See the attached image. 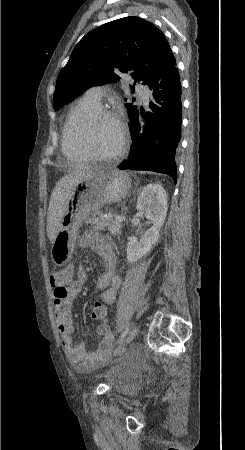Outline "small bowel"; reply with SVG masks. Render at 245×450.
I'll return each mask as SVG.
<instances>
[{"label": "small bowel", "instance_id": "1", "mask_svg": "<svg viewBox=\"0 0 245 450\" xmlns=\"http://www.w3.org/2000/svg\"><path fill=\"white\" fill-rule=\"evenodd\" d=\"M78 243L82 247H90L106 262V270L98 279L96 288L101 291L102 301L107 305L112 304L115 293L120 286L121 278L116 273L117 257L111 242L105 235L88 230L79 237ZM87 278V272L83 267H79L75 273L73 271L67 274L52 273L50 276L54 318L61 344L68 360L80 372L94 370L101 358L111 349L114 341L108 322L101 323L98 326L97 331L102 339L95 349L88 351L84 342L75 344L73 340L72 304ZM66 280L68 284L63 287V292L60 286Z\"/></svg>", "mask_w": 245, "mask_h": 450}]
</instances>
